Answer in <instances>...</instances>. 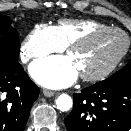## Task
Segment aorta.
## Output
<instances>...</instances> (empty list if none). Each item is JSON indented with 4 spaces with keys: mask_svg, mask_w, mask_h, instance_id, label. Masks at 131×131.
<instances>
[{
    "mask_svg": "<svg viewBox=\"0 0 131 131\" xmlns=\"http://www.w3.org/2000/svg\"><path fill=\"white\" fill-rule=\"evenodd\" d=\"M73 101L72 98L68 94H61L56 99V107L60 111H68L72 108Z\"/></svg>",
    "mask_w": 131,
    "mask_h": 131,
    "instance_id": "762f6f07",
    "label": "aorta"
}]
</instances>
